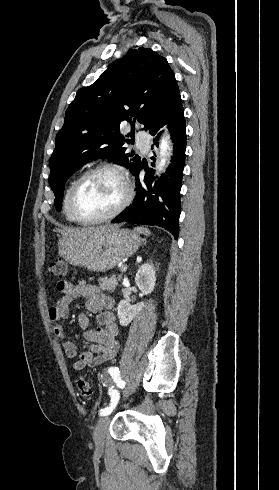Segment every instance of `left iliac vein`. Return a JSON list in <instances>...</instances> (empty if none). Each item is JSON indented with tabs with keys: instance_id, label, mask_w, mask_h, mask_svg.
I'll return each instance as SVG.
<instances>
[{
	"instance_id": "obj_1",
	"label": "left iliac vein",
	"mask_w": 279,
	"mask_h": 490,
	"mask_svg": "<svg viewBox=\"0 0 279 490\" xmlns=\"http://www.w3.org/2000/svg\"><path fill=\"white\" fill-rule=\"evenodd\" d=\"M110 419L108 416L100 418L94 431V442L97 452H101L105 446L106 432Z\"/></svg>"
}]
</instances>
